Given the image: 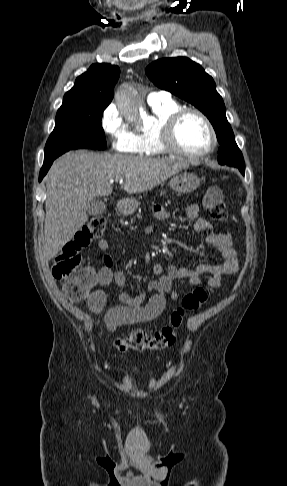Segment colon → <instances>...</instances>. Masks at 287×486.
<instances>
[{"mask_svg": "<svg viewBox=\"0 0 287 486\" xmlns=\"http://www.w3.org/2000/svg\"><path fill=\"white\" fill-rule=\"evenodd\" d=\"M204 206L209 216L220 223L226 222L228 211L222 190L217 186L207 188L204 196ZM106 228V220L96 216L84 225L62 248L54 258L52 274L63 284V292L69 300L82 303L88 300L90 291L96 282V274L90 267L82 265L80 251L102 236ZM210 297L207 288L199 287L186 294L179 307L170 316L168 325L154 333L135 330L129 335L115 340L114 345L120 353L146 350H164L174 345L185 317L198 311Z\"/></svg>", "mask_w": 287, "mask_h": 486, "instance_id": "1", "label": "colon"}]
</instances>
